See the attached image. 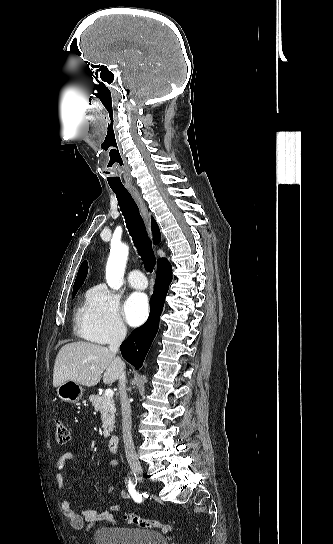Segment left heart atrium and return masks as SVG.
<instances>
[{
  "label": "left heart atrium",
  "mask_w": 333,
  "mask_h": 544,
  "mask_svg": "<svg viewBox=\"0 0 333 544\" xmlns=\"http://www.w3.org/2000/svg\"><path fill=\"white\" fill-rule=\"evenodd\" d=\"M149 312L148 299L143 293H133L125 303L124 313L127 322L131 326L142 324Z\"/></svg>",
  "instance_id": "obj_1"
}]
</instances>
